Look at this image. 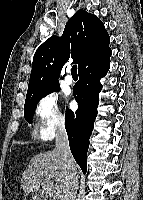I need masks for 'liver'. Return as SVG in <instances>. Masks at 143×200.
I'll return each instance as SVG.
<instances>
[{
	"label": "liver",
	"instance_id": "liver-1",
	"mask_svg": "<svg viewBox=\"0 0 143 200\" xmlns=\"http://www.w3.org/2000/svg\"><path fill=\"white\" fill-rule=\"evenodd\" d=\"M65 169L60 153L53 149L34 155L23 172L21 188L28 195L44 184L52 193L51 200H61Z\"/></svg>",
	"mask_w": 143,
	"mask_h": 200
}]
</instances>
